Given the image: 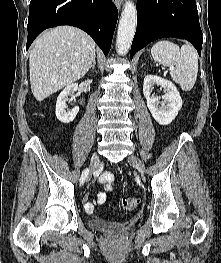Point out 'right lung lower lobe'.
I'll list each match as a JSON object with an SVG mask.
<instances>
[{
  "instance_id": "1",
  "label": "right lung lower lobe",
  "mask_w": 221,
  "mask_h": 263,
  "mask_svg": "<svg viewBox=\"0 0 221 263\" xmlns=\"http://www.w3.org/2000/svg\"><path fill=\"white\" fill-rule=\"evenodd\" d=\"M117 18L111 0H31L26 49L46 28L71 25L87 32L107 55Z\"/></svg>"
}]
</instances>
